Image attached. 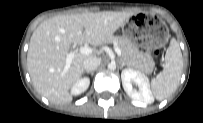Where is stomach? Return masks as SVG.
Returning <instances> with one entry per match:
<instances>
[{
  "label": "stomach",
  "mask_w": 203,
  "mask_h": 123,
  "mask_svg": "<svg viewBox=\"0 0 203 123\" xmlns=\"http://www.w3.org/2000/svg\"><path fill=\"white\" fill-rule=\"evenodd\" d=\"M124 37L136 45L148 49H157L164 46L169 40V32L165 24L153 15H146L142 21L133 20L123 25Z\"/></svg>",
  "instance_id": "0dacf381"
}]
</instances>
